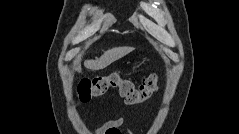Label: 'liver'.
<instances>
[{
	"label": "liver",
	"instance_id": "liver-1",
	"mask_svg": "<svg viewBox=\"0 0 239 134\" xmlns=\"http://www.w3.org/2000/svg\"><path fill=\"white\" fill-rule=\"evenodd\" d=\"M134 48L132 47H117L107 50L100 58L95 60H87L84 62L86 68L91 70H101L109 66L114 61L129 54ZM78 72H81V67L76 68Z\"/></svg>",
	"mask_w": 239,
	"mask_h": 134
}]
</instances>
